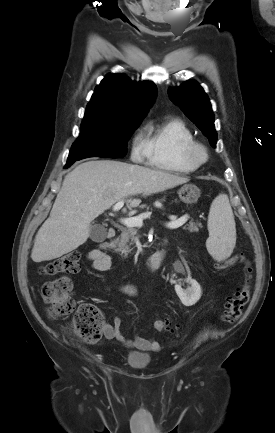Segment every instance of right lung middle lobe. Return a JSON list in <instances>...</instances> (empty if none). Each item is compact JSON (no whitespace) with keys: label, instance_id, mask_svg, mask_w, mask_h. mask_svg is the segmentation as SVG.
I'll return each instance as SVG.
<instances>
[{"label":"right lung middle lobe","instance_id":"1","mask_svg":"<svg viewBox=\"0 0 275 433\" xmlns=\"http://www.w3.org/2000/svg\"><path fill=\"white\" fill-rule=\"evenodd\" d=\"M141 121L119 124L82 122L81 133L73 143L65 168L88 157L122 158L127 141Z\"/></svg>","mask_w":275,"mask_h":433}]
</instances>
